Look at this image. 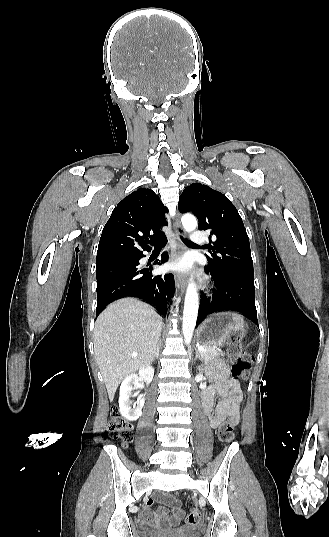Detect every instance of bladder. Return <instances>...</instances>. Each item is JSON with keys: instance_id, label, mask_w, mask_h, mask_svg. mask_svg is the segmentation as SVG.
I'll list each match as a JSON object with an SVG mask.
<instances>
[{"instance_id": "1", "label": "bladder", "mask_w": 329, "mask_h": 537, "mask_svg": "<svg viewBox=\"0 0 329 537\" xmlns=\"http://www.w3.org/2000/svg\"><path fill=\"white\" fill-rule=\"evenodd\" d=\"M183 534L187 535V534H190V533H193L194 532V528H185L181 531ZM149 537H161L160 535H158L157 533L155 532H151L149 534Z\"/></svg>"}]
</instances>
